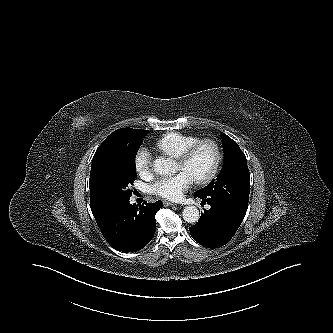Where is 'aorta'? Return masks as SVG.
<instances>
[{"label": "aorta", "instance_id": "aorta-1", "mask_svg": "<svg viewBox=\"0 0 333 333\" xmlns=\"http://www.w3.org/2000/svg\"><path fill=\"white\" fill-rule=\"evenodd\" d=\"M154 171L160 175H169L177 170L176 163L169 159L159 157L153 163ZM183 219L188 223H196L199 220V210L195 206H186L182 212Z\"/></svg>", "mask_w": 333, "mask_h": 333}]
</instances>
